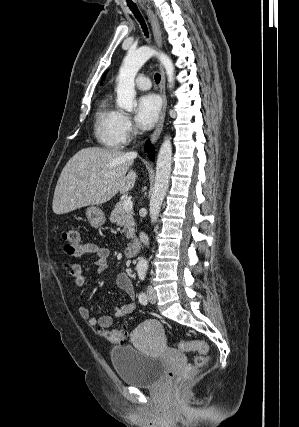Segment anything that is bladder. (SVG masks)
Masks as SVG:
<instances>
[{
    "label": "bladder",
    "mask_w": 299,
    "mask_h": 427,
    "mask_svg": "<svg viewBox=\"0 0 299 427\" xmlns=\"http://www.w3.org/2000/svg\"><path fill=\"white\" fill-rule=\"evenodd\" d=\"M110 358L119 379L136 387H154L166 373V363L154 356L144 354L130 344L115 346Z\"/></svg>",
    "instance_id": "obj_1"
}]
</instances>
